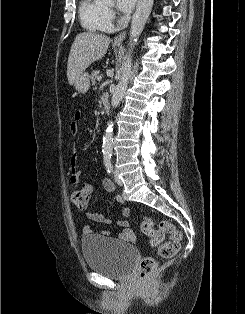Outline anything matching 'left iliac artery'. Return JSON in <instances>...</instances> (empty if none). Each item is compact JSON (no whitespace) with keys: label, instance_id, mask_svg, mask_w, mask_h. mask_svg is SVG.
Listing matches in <instances>:
<instances>
[{"label":"left iliac artery","instance_id":"obj_1","mask_svg":"<svg viewBox=\"0 0 245 314\" xmlns=\"http://www.w3.org/2000/svg\"><path fill=\"white\" fill-rule=\"evenodd\" d=\"M104 164H105V167H106L108 173H111L113 171V166L111 163V154H105L104 155Z\"/></svg>","mask_w":245,"mask_h":314}]
</instances>
